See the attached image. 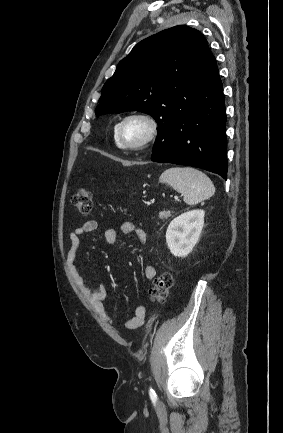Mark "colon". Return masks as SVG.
I'll list each match as a JSON object with an SVG mask.
<instances>
[{
  "mask_svg": "<svg viewBox=\"0 0 283 433\" xmlns=\"http://www.w3.org/2000/svg\"><path fill=\"white\" fill-rule=\"evenodd\" d=\"M71 205L82 216H89L93 209L92 193L88 188H79L71 197ZM173 286V277L169 272L160 274L149 290L150 298L162 303L166 300Z\"/></svg>",
  "mask_w": 283,
  "mask_h": 433,
  "instance_id": "colon-1",
  "label": "colon"
}]
</instances>
